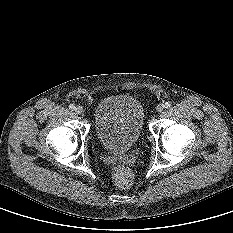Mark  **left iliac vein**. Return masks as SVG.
<instances>
[{"mask_svg": "<svg viewBox=\"0 0 233 233\" xmlns=\"http://www.w3.org/2000/svg\"><path fill=\"white\" fill-rule=\"evenodd\" d=\"M164 108H165V105L160 103V104L157 105L156 109H157L158 112H162L164 110Z\"/></svg>", "mask_w": 233, "mask_h": 233, "instance_id": "4c4485c4", "label": "left iliac vein"}]
</instances>
